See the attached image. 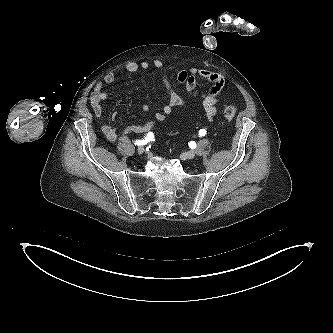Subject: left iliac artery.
Segmentation results:
<instances>
[{
  "label": "left iliac artery",
  "mask_w": 333,
  "mask_h": 333,
  "mask_svg": "<svg viewBox=\"0 0 333 333\" xmlns=\"http://www.w3.org/2000/svg\"><path fill=\"white\" fill-rule=\"evenodd\" d=\"M206 133H207V131H206L205 129H201V130L199 131V136H200V137H201V136H205Z\"/></svg>",
  "instance_id": "obj_1"
}]
</instances>
